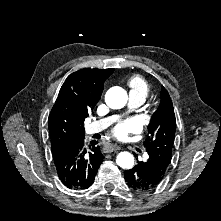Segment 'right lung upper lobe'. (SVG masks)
<instances>
[{"mask_svg": "<svg viewBox=\"0 0 221 221\" xmlns=\"http://www.w3.org/2000/svg\"><path fill=\"white\" fill-rule=\"evenodd\" d=\"M114 69H82L63 83L48 119L52 153L84 136V120L99 101Z\"/></svg>", "mask_w": 221, "mask_h": 221, "instance_id": "cb5924a9", "label": "right lung upper lobe"}]
</instances>
